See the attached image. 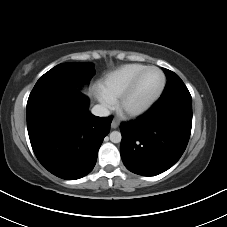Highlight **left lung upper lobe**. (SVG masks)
I'll return each mask as SVG.
<instances>
[{"label": "left lung upper lobe", "instance_id": "5c2ea615", "mask_svg": "<svg viewBox=\"0 0 227 227\" xmlns=\"http://www.w3.org/2000/svg\"><path fill=\"white\" fill-rule=\"evenodd\" d=\"M164 72L167 77V83L158 101H166V100L192 101L191 95L187 87L183 83V81L180 79V77L174 72L165 68H164Z\"/></svg>", "mask_w": 227, "mask_h": 227}]
</instances>
